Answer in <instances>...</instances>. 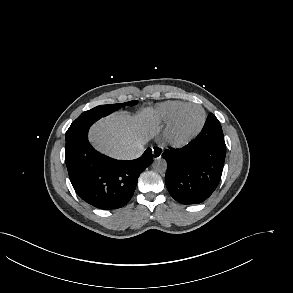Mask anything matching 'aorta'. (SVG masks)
<instances>
[{
    "label": "aorta",
    "mask_w": 293,
    "mask_h": 293,
    "mask_svg": "<svg viewBox=\"0 0 293 293\" xmlns=\"http://www.w3.org/2000/svg\"><path fill=\"white\" fill-rule=\"evenodd\" d=\"M153 169L156 172L163 173L167 169V162L164 159H162V158H157L153 162Z\"/></svg>",
    "instance_id": "762f6f07"
}]
</instances>
